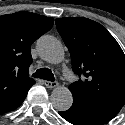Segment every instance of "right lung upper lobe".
<instances>
[{
  "mask_svg": "<svg viewBox=\"0 0 125 125\" xmlns=\"http://www.w3.org/2000/svg\"><path fill=\"white\" fill-rule=\"evenodd\" d=\"M54 19L29 12L0 16V98L29 89L31 44L50 30Z\"/></svg>",
  "mask_w": 125,
  "mask_h": 125,
  "instance_id": "obj_1",
  "label": "right lung upper lobe"
}]
</instances>
